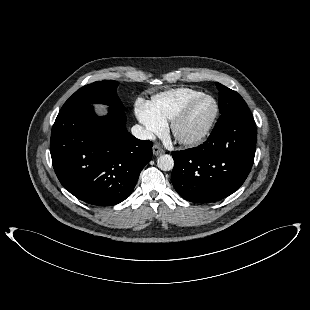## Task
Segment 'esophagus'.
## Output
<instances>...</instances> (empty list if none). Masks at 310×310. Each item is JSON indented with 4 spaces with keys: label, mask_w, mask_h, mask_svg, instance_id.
I'll list each match as a JSON object with an SVG mask.
<instances>
[{
    "label": "esophagus",
    "mask_w": 310,
    "mask_h": 310,
    "mask_svg": "<svg viewBox=\"0 0 310 310\" xmlns=\"http://www.w3.org/2000/svg\"><path fill=\"white\" fill-rule=\"evenodd\" d=\"M163 153H164V150H163V148H162L160 145L155 144V145L153 146V154H154L155 156H159V155H161V154H163Z\"/></svg>",
    "instance_id": "obj_1"
}]
</instances>
